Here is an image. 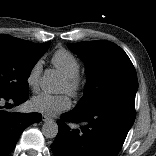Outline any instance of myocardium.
Listing matches in <instances>:
<instances>
[{"instance_id": "1", "label": "myocardium", "mask_w": 156, "mask_h": 156, "mask_svg": "<svg viewBox=\"0 0 156 156\" xmlns=\"http://www.w3.org/2000/svg\"><path fill=\"white\" fill-rule=\"evenodd\" d=\"M67 84V93L72 97H78L84 87V79L80 73L72 76H64L63 79Z\"/></svg>"}]
</instances>
